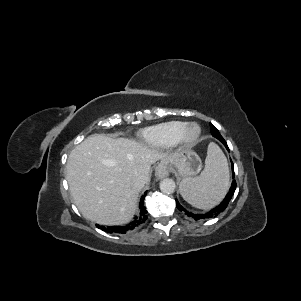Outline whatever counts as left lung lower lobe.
<instances>
[{
    "instance_id": "1",
    "label": "left lung lower lobe",
    "mask_w": 301,
    "mask_h": 301,
    "mask_svg": "<svg viewBox=\"0 0 301 301\" xmlns=\"http://www.w3.org/2000/svg\"><path fill=\"white\" fill-rule=\"evenodd\" d=\"M212 135L214 137H216L218 140H220L224 146L226 147V149L229 151V148L227 146V143L226 141L222 138V136L220 135L219 132H216V131H211ZM232 163V162H231ZM232 172H233V179H234V166H233V163H232ZM235 189H236V181L233 180L232 181V184H231V187L229 189V192L227 193V195L225 196V198L223 199V201L218 205L216 206L215 208L211 209L210 211L204 213V214H196V213H192V212H188L186 209H184L180 204L179 202L177 201L176 199V206L177 208L180 210V211H183L187 216L195 219V220H201V219H209V218H213V217H216L220 212H222L223 210L226 209V207L228 206L234 192H235Z\"/></svg>"
}]
</instances>
